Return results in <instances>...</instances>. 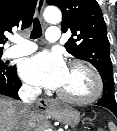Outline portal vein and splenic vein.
I'll return each instance as SVG.
<instances>
[{"instance_id": "18ae733b", "label": "portal vein and splenic vein", "mask_w": 117, "mask_h": 131, "mask_svg": "<svg viewBox=\"0 0 117 131\" xmlns=\"http://www.w3.org/2000/svg\"><path fill=\"white\" fill-rule=\"evenodd\" d=\"M59 131H63V129H59Z\"/></svg>"}]
</instances>
